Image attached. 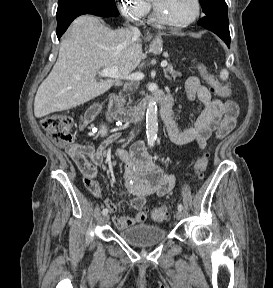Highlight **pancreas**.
I'll return each instance as SVG.
<instances>
[{"mask_svg": "<svg viewBox=\"0 0 273 288\" xmlns=\"http://www.w3.org/2000/svg\"><path fill=\"white\" fill-rule=\"evenodd\" d=\"M164 74L165 77L169 80H174L177 76H180V72L174 70V68L171 65H168L165 69H164Z\"/></svg>", "mask_w": 273, "mask_h": 288, "instance_id": "pancreas-1", "label": "pancreas"}]
</instances>
